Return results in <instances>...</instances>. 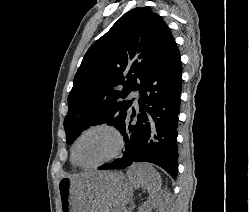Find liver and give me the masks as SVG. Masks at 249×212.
Wrapping results in <instances>:
<instances>
[{"mask_svg":"<svg viewBox=\"0 0 249 212\" xmlns=\"http://www.w3.org/2000/svg\"><path fill=\"white\" fill-rule=\"evenodd\" d=\"M149 168H151L150 164H132L127 176L118 172H87V174H79L77 178L91 182L100 192L105 212H111V208H121L129 204L133 198V190L138 188L148 190ZM155 184H159L161 190L160 176H157L156 180L152 178L153 194H156Z\"/></svg>","mask_w":249,"mask_h":212,"instance_id":"liver-1","label":"liver"}]
</instances>
